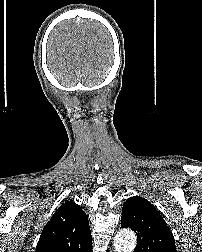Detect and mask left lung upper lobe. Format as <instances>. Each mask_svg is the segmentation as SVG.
<instances>
[{"label": "left lung upper lobe", "mask_w": 202, "mask_h": 252, "mask_svg": "<svg viewBox=\"0 0 202 252\" xmlns=\"http://www.w3.org/2000/svg\"><path fill=\"white\" fill-rule=\"evenodd\" d=\"M121 227L138 237L134 252H176L173 235L163 217L146 199L134 196L123 205Z\"/></svg>", "instance_id": "1"}]
</instances>
